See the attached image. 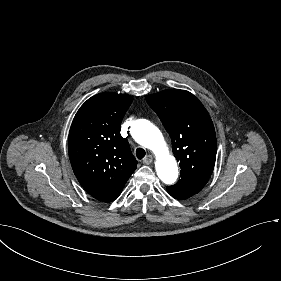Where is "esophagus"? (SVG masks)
I'll list each match as a JSON object with an SVG mask.
<instances>
[{"label":"esophagus","instance_id":"esophagus-1","mask_svg":"<svg viewBox=\"0 0 281 281\" xmlns=\"http://www.w3.org/2000/svg\"><path fill=\"white\" fill-rule=\"evenodd\" d=\"M153 161V156L152 155H148L144 160H143V163L146 164V165H149L151 164Z\"/></svg>","mask_w":281,"mask_h":281}]
</instances>
